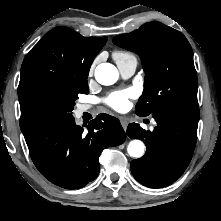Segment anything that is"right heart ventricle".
<instances>
[{
  "mask_svg": "<svg viewBox=\"0 0 221 221\" xmlns=\"http://www.w3.org/2000/svg\"><path fill=\"white\" fill-rule=\"evenodd\" d=\"M132 57L134 56L131 53L125 51H115L113 53V58L115 61H121Z\"/></svg>",
  "mask_w": 221,
  "mask_h": 221,
  "instance_id": "obj_1",
  "label": "right heart ventricle"
}]
</instances>
